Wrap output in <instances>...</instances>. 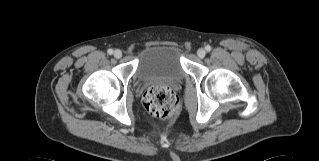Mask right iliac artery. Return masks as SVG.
<instances>
[{
	"mask_svg": "<svg viewBox=\"0 0 319 161\" xmlns=\"http://www.w3.org/2000/svg\"><path fill=\"white\" fill-rule=\"evenodd\" d=\"M107 53H108L109 55H112V54H113V50H112V49H109V50L107 51Z\"/></svg>",
	"mask_w": 319,
	"mask_h": 161,
	"instance_id": "right-iliac-artery-1",
	"label": "right iliac artery"
}]
</instances>
